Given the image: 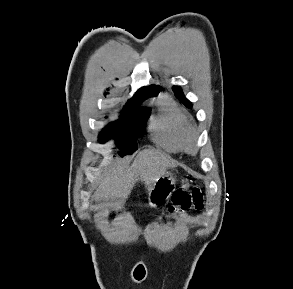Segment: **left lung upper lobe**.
<instances>
[{"mask_svg": "<svg viewBox=\"0 0 293 289\" xmlns=\"http://www.w3.org/2000/svg\"><path fill=\"white\" fill-rule=\"evenodd\" d=\"M173 91H174L176 97H177L180 101H182V103H183L185 106H187V107H191V106H192V104H191V103L185 98V96H184V94H183V92H182V90H181L180 87H178V86H174V87H173Z\"/></svg>", "mask_w": 293, "mask_h": 289, "instance_id": "obj_1", "label": "left lung upper lobe"}]
</instances>
